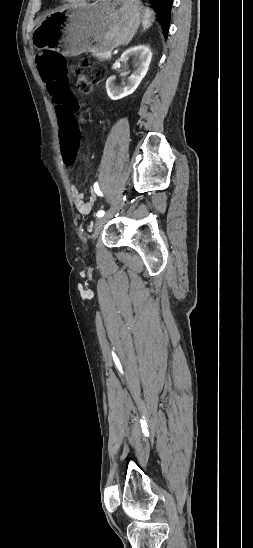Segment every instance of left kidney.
<instances>
[{
	"label": "left kidney",
	"mask_w": 253,
	"mask_h": 548,
	"mask_svg": "<svg viewBox=\"0 0 253 548\" xmlns=\"http://www.w3.org/2000/svg\"><path fill=\"white\" fill-rule=\"evenodd\" d=\"M130 57L135 58L136 69L128 78L127 83L117 85L115 77L112 76L106 81L107 94L112 100L122 99L132 94L137 89L148 71L152 59V52L147 45H138L125 51L121 55L120 60L126 62Z\"/></svg>",
	"instance_id": "1"
}]
</instances>
